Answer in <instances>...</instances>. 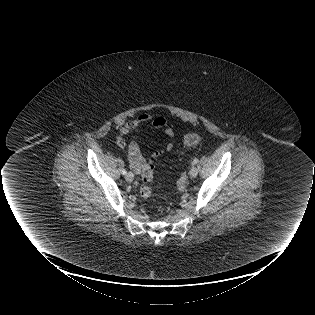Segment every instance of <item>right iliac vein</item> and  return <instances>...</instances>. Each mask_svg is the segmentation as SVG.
I'll return each mask as SVG.
<instances>
[{"label": "right iliac vein", "instance_id": "63e3f726", "mask_svg": "<svg viewBox=\"0 0 315 315\" xmlns=\"http://www.w3.org/2000/svg\"><path fill=\"white\" fill-rule=\"evenodd\" d=\"M126 180L128 181V182H132L133 181V179H134V175H133V173H131V172H128L127 174H126Z\"/></svg>", "mask_w": 315, "mask_h": 315}]
</instances>
